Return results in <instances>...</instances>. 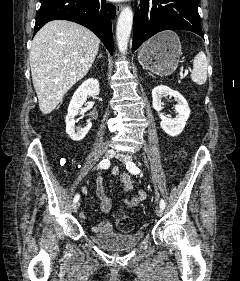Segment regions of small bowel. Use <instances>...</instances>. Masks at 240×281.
<instances>
[{
  "instance_id": "small-bowel-1",
  "label": "small bowel",
  "mask_w": 240,
  "mask_h": 281,
  "mask_svg": "<svg viewBox=\"0 0 240 281\" xmlns=\"http://www.w3.org/2000/svg\"><path fill=\"white\" fill-rule=\"evenodd\" d=\"M111 174L114 178H119L123 190L126 194H129L133 190V181L129 174L121 173L118 167H114L111 170ZM81 192L84 195L88 194V189L83 187ZM96 195L100 199V208L103 213H109L112 209V200L107 195V192L103 186V177L101 174H98L96 177ZM147 197V194L144 190H139L133 196H126L124 203L127 207L133 208L138 206L143 202ZM82 218H86L85 214L81 213ZM112 230V224L108 220L101 221L98 225L92 227L93 233H109Z\"/></svg>"
}]
</instances>
